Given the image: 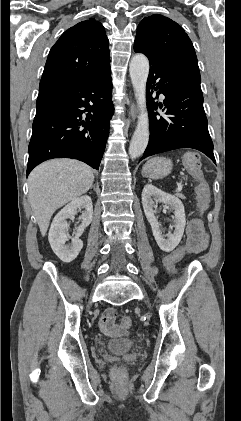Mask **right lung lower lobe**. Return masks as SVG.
Here are the masks:
<instances>
[{
  "label": "right lung lower lobe",
  "mask_w": 241,
  "mask_h": 421,
  "mask_svg": "<svg viewBox=\"0 0 241 421\" xmlns=\"http://www.w3.org/2000/svg\"><path fill=\"white\" fill-rule=\"evenodd\" d=\"M111 93L110 67L90 79L39 92L27 175L53 158L78 159L98 169L114 111Z\"/></svg>",
  "instance_id": "obj_1"
}]
</instances>
